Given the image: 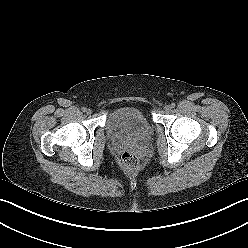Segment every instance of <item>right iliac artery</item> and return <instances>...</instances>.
<instances>
[{
    "label": "right iliac artery",
    "mask_w": 248,
    "mask_h": 248,
    "mask_svg": "<svg viewBox=\"0 0 248 248\" xmlns=\"http://www.w3.org/2000/svg\"><path fill=\"white\" fill-rule=\"evenodd\" d=\"M81 110H82L83 112H86L87 109H86V107H82Z\"/></svg>",
    "instance_id": "right-iliac-artery-1"
}]
</instances>
